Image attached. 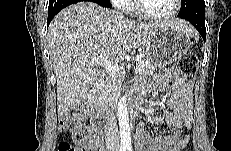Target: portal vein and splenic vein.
I'll use <instances>...</instances> for the list:
<instances>
[{"label":"portal vein and splenic vein","instance_id":"portal-vein-and-splenic-vein-1","mask_svg":"<svg viewBox=\"0 0 231 151\" xmlns=\"http://www.w3.org/2000/svg\"><path fill=\"white\" fill-rule=\"evenodd\" d=\"M141 59H142L141 55H137L136 58H135V60L137 62H140ZM91 63L92 64H98V65L104 67L105 69H107L109 72H112V73L119 71L118 64H114L113 62L102 59L101 57L98 58V59H94Z\"/></svg>","mask_w":231,"mask_h":151}]
</instances>
